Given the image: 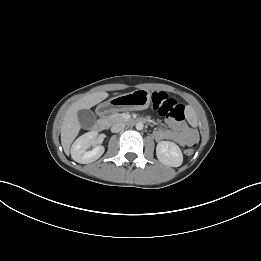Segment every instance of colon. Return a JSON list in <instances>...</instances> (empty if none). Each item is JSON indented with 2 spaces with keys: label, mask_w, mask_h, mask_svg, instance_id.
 Returning a JSON list of instances; mask_svg holds the SVG:
<instances>
[{
  "label": "colon",
  "mask_w": 261,
  "mask_h": 261,
  "mask_svg": "<svg viewBox=\"0 0 261 261\" xmlns=\"http://www.w3.org/2000/svg\"><path fill=\"white\" fill-rule=\"evenodd\" d=\"M152 106L162 116L180 121L184 118V106L169 97L164 92H155L152 95ZM194 145L185 149V154L193 155Z\"/></svg>",
  "instance_id": "obj_1"
}]
</instances>
